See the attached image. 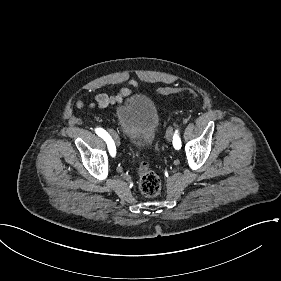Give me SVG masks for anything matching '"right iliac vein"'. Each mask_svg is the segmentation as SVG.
I'll list each match as a JSON object with an SVG mask.
<instances>
[{
    "label": "right iliac vein",
    "mask_w": 281,
    "mask_h": 281,
    "mask_svg": "<svg viewBox=\"0 0 281 281\" xmlns=\"http://www.w3.org/2000/svg\"><path fill=\"white\" fill-rule=\"evenodd\" d=\"M110 134H111V136H112V138H113L115 144H116L117 146H119V145H120V139H119L118 135L116 134V132L113 131V130H110Z\"/></svg>",
    "instance_id": "right-iliac-vein-1"
}]
</instances>
